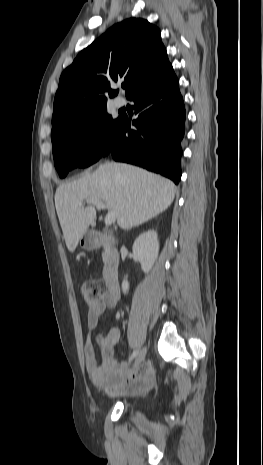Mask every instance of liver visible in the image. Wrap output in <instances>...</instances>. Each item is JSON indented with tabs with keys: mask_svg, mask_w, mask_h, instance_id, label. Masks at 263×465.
I'll use <instances>...</instances> for the list:
<instances>
[{
	"mask_svg": "<svg viewBox=\"0 0 263 465\" xmlns=\"http://www.w3.org/2000/svg\"><path fill=\"white\" fill-rule=\"evenodd\" d=\"M175 184L142 168L116 162L100 164L78 180L60 185L55 207L68 250L73 253L90 226H96L94 206L84 200H101L113 211L122 229L139 226L164 212L173 202Z\"/></svg>",
	"mask_w": 263,
	"mask_h": 465,
	"instance_id": "liver-1",
	"label": "liver"
}]
</instances>
